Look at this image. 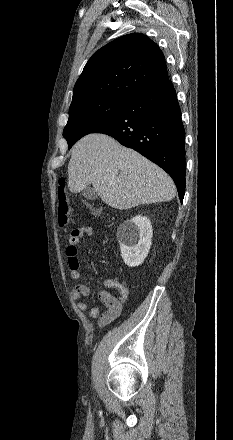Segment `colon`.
<instances>
[{
    "label": "colon",
    "mask_w": 233,
    "mask_h": 440,
    "mask_svg": "<svg viewBox=\"0 0 233 440\" xmlns=\"http://www.w3.org/2000/svg\"><path fill=\"white\" fill-rule=\"evenodd\" d=\"M92 214L96 217H102V210L98 207L86 204ZM57 208H58V223L61 227H66L69 224L70 207L68 203V196L66 191V181L64 178L60 179L57 184Z\"/></svg>",
    "instance_id": "colon-1"
}]
</instances>
